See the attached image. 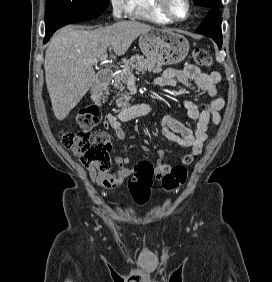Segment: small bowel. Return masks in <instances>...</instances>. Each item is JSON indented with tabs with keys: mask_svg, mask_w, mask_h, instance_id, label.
<instances>
[{
	"mask_svg": "<svg viewBox=\"0 0 272 282\" xmlns=\"http://www.w3.org/2000/svg\"><path fill=\"white\" fill-rule=\"evenodd\" d=\"M221 76L218 72L211 74L203 72L195 65H186L183 69H166L160 76L154 79L153 84L158 87L174 86L176 81L181 83L187 90L193 91L194 85L207 94V99L200 105L190 100L184 101V107L190 119L195 121L196 126L191 130L181 121L171 117L163 116L160 120L162 135L165 139L180 147L189 148V153L181 158V164L188 165L201 153L203 143L208 135L207 131L210 122L219 124L221 121L220 111L225 105L223 96L217 93L216 85L220 81ZM105 128L114 130L118 139H125V131L116 117L109 113L103 123ZM144 151L148 152V148L142 145ZM117 165L113 172H100L95 169H88L89 176L93 183L102 190L116 193L124 180L131 174L132 170L128 167L129 160L119 155L115 157ZM172 169L162 151L158 152V158L154 165V174L156 179H160L163 175Z\"/></svg>",
	"mask_w": 272,
	"mask_h": 282,
	"instance_id": "1",
	"label": "small bowel"
}]
</instances>
